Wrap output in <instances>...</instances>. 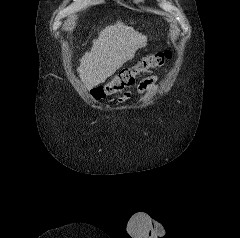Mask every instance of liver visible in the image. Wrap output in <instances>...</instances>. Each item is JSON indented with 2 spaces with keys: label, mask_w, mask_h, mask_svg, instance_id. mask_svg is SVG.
I'll return each instance as SVG.
<instances>
[{
  "label": "liver",
  "mask_w": 240,
  "mask_h": 238,
  "mask_svg": "<svg viewBox=\"0 0 240 238\" xmlns=\"http://www.w3.org/2000/svg\"><path fill=\"white\" fill-rule=\"evenodd\" d=\"M146 44V36L122 22L102 29L77 69L84 86L90 90L104 83Z\"/></svg>",
  "instance_id": "liver-1"
}]
</instances>
